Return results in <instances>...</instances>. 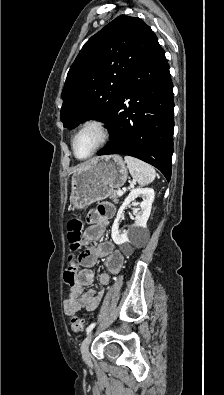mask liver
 I'll return each instance as SVG.
<instances>
[{
	"label": "liver",
	"instance_id": "obj_1",
	"mask_svg": "<svg viewBox=\"0 0 224 395\" xmlns=\"http://www.w3.org/2000/svg\"><path fill=\"white\" fill-rule=\"evenodd\" d=\"M90 162V161H89ZM88 163V162H87ZM87 163H85V164H83V165H81V167H83L84 165H86Z\"/></svg>",
	"mask_w": 224,
	"mask_h": 395
}]
</instances>
